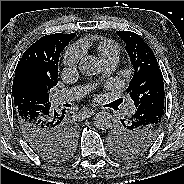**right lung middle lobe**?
Wrapping results in <instances>:
<instances>
[{"label":"right lung middle lobe","mask_w":184,"mask_h":184,"mask_svg":"<svg viewBox=\"0 0 184 184\" xmlns=\"http://www.w3.org/2000/svg\"><path fill=\"white\" fill-rule=\"evenodd\" d=\"M17 103H36L39 101L31 90H24L16 97ZM76 130L74 127H70L65 131L63 140L58 145L53 146L50 149L38 152V155L44 160L48 161H61L68 158L75 147L76 142Z\"/></svg>","instance_id":"right-lung-middle-lobe-1"}]
</instances>
